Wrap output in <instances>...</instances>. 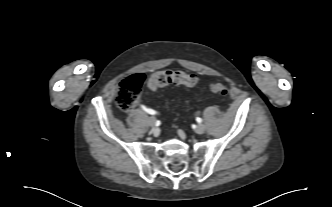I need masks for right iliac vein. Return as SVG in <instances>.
Returning <instances> with one entry per match:
<instances>
[{"instance_id":"63e3f726","label":"right iliac vein","mask_w":332,"mask_h":207,"mask_svg":"<svg viewBox=\"0 0 332 207\" xmlns=\"http://www.w3.org/2000/svg\"><path fill=\"white\" fill-rule=\"evenodd\" d=\"M148 122H149V125L153 127L156 124V118L151 116V117H149Z\"/></svg>"}]
</instances>
